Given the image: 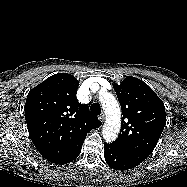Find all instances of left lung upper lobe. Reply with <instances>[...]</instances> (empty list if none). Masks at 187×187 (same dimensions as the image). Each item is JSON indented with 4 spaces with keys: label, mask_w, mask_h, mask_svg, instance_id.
Returning a JSON list of instances; mask_svg holds the SVG:
<instances>
[{
    "label": "left lung upper lobe",
    "mask_w": 187,
    "mask_h": 187,
    "mask_svg": "<svg viewBox=\"0 0 187 187\" xmlns=\"http://www.w3.org/2000/svg\"><path fill=\"white\" fill-rule=\"evenodd\" d=\"M113 88L123 116L120 134L110 145L142 162L153 152L165 127L164 104L145 82L132 76Z\"/></svg>",
    "instance_id": "5c2ea615"
}]
</instances>
